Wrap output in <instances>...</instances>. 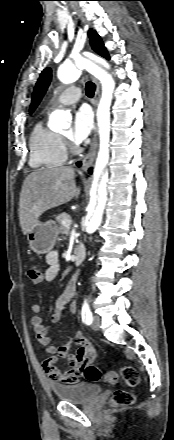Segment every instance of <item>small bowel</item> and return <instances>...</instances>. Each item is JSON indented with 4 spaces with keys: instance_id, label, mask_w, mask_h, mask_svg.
I'll return each instance as SVG.
<instances>
[{
    "instance_id": "1",
    "label": "small bowel",
    "mask_w": 174,
    "mask_h": 440,
    "mask_svg": "<svg viewBox=\"0 0 174 440\" xmlns=\"http://www.w3.org/2000/svg\"><path fill=\"white\" fill-rule=\"evenodd\" d=\"M47 268L44 273L46 281H53L60 272L59 253L57 250H51L46 256ZM77 274H74L68 281L65 291L60 295L53 304V315L51 317L52 324L59 322L61 315L66 308L69 307L72 313L77 311V303L74 295L77 286ZM32 311L35 315L31 318V324L36 334L37 340L43 346L48 354L52 355L44 364L50 380L62 384L77 383L82 376L83 369L87 363H90L95 355L96 350L92 343L84 336L82 332H77L70 336L66 341L56 347L51 345V339L48 335L49 327L44 324L43 318L39 315L43 311V307L38 303L32 304ZM74 350L72 351V348ZM58 358H67L70 364L69 370H61L58 366Z\"/></svg>"
}]
</instances>
